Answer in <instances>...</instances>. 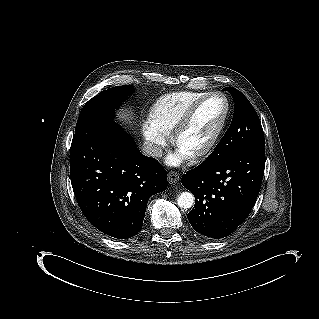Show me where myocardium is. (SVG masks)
I'll return each instance as SVG.
<instances>
[{
  "label": "myocardium",
  "mask_w": 319,
  "mask_h": 319,
  "mask_svg": "<svg viewBox=\"0 0 319 319\" xmlns=\"http://www.w3.org/2000/svg\"><path fill=\"white\" fill-rule=\"evenodd\" d=\"M213 97H219L223 100L224 102V111L222 114V117L217 125V127L215 128V130L213 131V133L211 134V136L209 137V139L206 141V143H204L202 146L193 149V150H187V152L189 153V155H191L192 157H200L203 156L205 154H207L215 145V143L217 142L223 128L224 125L226 123V119L229 113V103L227 98L225 97V95L219 91H214V92H209L206 93L204 96H202L200 99H198L184 114V116L182 117V119L179 121V123L175 126L174 131H173V141L177 146H181L180 145V135L181 132L183 131V129L185 128V126L190 122V120L192 119L194 113L196 112V110L198 109V107L204 103L205 101H207L210 98Z\"/></svg>",
  "instance_id": "myocardium-1"
}]
</instances>
